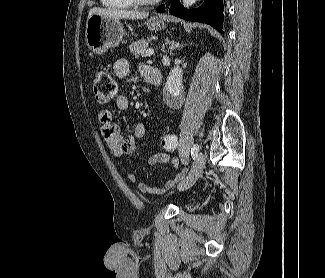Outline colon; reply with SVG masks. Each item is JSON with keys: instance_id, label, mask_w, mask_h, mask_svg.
Wrapping results in <instances>:
<instances>
[{"instance_id": "1", "label": "colon", "mask_w": 325, "mask_h": 278, "mask_svg": "<svg viewBox=\"0 0 325 278\" xmlns=\"http://www.w3.org/2000/svg\"><path fill=\"white\" fill-rule=\"evenodd\" d=\"M93 94L97 102L107 104L117 95V84L114 78L105 71H99L93 81ZM162 148L173 153L177 149V138L173 134L163 136L161 139Z\"/></svg>"}]
</instances>
